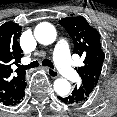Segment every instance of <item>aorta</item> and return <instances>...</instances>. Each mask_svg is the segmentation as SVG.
Returning a JSON list of instances; mask_svg holds the SVG:
<instances>
[{"mask_svg":"<svg viewBox=\"0 0 117 117\" xmlns=\"http://www.w3.org/2000/svg\"><path fill=\"white\" fill-rule=\"evenodd\" d=\"M34 36L39 43L49 45L56 40L57 32L52 24L43 22L35 27ZM53 86L55 92L61 97L67 96L71 90L70 82L64 78L56 79Z\"/></svg>","mask_w":117,"mask_h":117,"instance_id":"762f6f07","label":"aorta"}]
</instances>
